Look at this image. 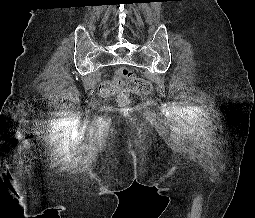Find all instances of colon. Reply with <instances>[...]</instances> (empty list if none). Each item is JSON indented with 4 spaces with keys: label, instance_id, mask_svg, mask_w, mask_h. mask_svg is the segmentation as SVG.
Instances as JSON below:
<instances>
[{
    "label": "colon",
    "instance_id": "5ec220e1",
    "mask_svg": "<svg viewBox=\"0 0 255 218\" xmlns=\"http://www.w3.org/2000/svg\"><path fill=\"white\" fill-rule=\"evenodd\" d=\"M127 82L126 89H122L123 83ZM121 85V86H120ZM102 95H111L119 92V102L124 105L128 101L129 93L148 96L152 92V85L145 79L134 77L127 67H119L115 72V80L100 86Z\"/></svg>",
    "mask_w": 255,
    "mask_h": 218
}]
</instances>
